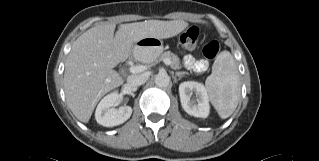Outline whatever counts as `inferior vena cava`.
Listing matches in <instances>:
<instances>
[{"mask_svg": "<svg viewBox=\"0 0 319 161\" xmlns=\"http://www.w3.org/2000/svg\"><path fill=\"white\" fill-rule=\"evenodd\" d=\"M148 77L149 76L147 73H142V74H138V75H131L127 78V82L130 85L139 86V85L144 84L147 81Z\"/></svg>", "mask_w": 319, "mask_h": 161, "instance_id": "obj_1", "label": "inferior vena cava"}]
</instances>
